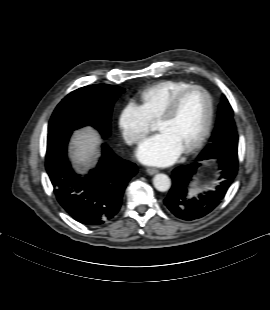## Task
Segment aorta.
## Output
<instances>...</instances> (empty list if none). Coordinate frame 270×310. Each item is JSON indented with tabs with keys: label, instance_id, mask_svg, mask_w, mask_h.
Listing matches in <instances>:
<instances>
[{
	"label": "aorta",
	"instance_id": "obj_1",
	"mask_svg": "<svg viewBox=\"0 0 270 310\" xmlns=\"http://www.w3.org/2000/svg\"><path fill=\"white\" fill-rule=\"evenodd\" d=\"M153 185L158 191L165 192L169 190L171 181H170V178L166 174L160 173L154 176Z\"/></svg>",
	"mask_w": 270,
	"mask_h": 310
}]
</instances>
